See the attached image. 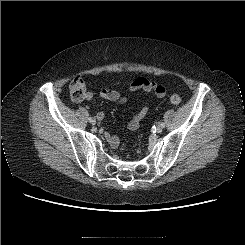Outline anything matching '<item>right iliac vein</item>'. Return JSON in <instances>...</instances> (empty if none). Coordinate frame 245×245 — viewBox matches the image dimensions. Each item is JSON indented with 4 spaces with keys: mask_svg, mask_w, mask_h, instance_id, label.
<instances>
[{
    "mask_svg": "<svg viewBox=\"0 0 245 245\" xmlns=\"http://www.w3.org/2000/svg\"><path fill=\"white\" fill-rule=\"evenodd\" d=\"M91 124H95L96 123V121H95V119H91L90 121H89Z\"/></svg>",
    "mask_w": 245,
    "mask_h": 245,
    "instance_id": "1",
    "label": "right iliac vein"
}]
</instances>
